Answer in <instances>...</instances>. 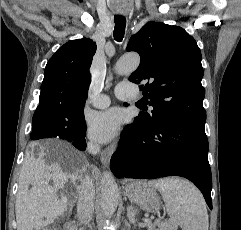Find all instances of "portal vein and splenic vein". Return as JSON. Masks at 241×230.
Returning <instances> with one entry per match:
<instances>
[{
	"label": "portal vein and splenic vein",
	"instance_id": "portal-vein-and-splenic-vein-1",
	"mask_svg": "<svg viewBox=\"0 0 241 230\" xmlns=\"http://www.w3.org/2000/svg\"><path fill=\"white\" fill-rule=\"evenodd\" d=\"M145 223L151 224V221L149 219H144Z\"/></svg>",
	"mask_w": 241,
	"mask_h": 230
}]
</instances>
